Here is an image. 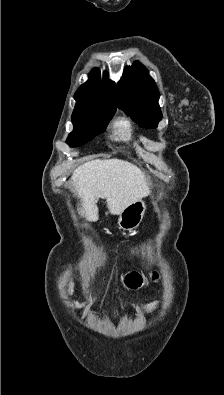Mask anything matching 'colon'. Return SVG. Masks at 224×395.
<instances>
[{"label":"colon","instance_id":"colon-1","mask_svg":"<svg viewBox=\"0 0 224 395\" xmlns=\"http://www.w3.org/2000/svg\"><path fill=\"white\" fill-rule=\"evenodd\" d=\"M156 278H157V273H154L153 279H156ZM129 279H130L129 286L131 288H138L143 284V278L136 273H131L129 276Z\"/></svg>","mask_w":224,"mask_h":395}]
</instances>
